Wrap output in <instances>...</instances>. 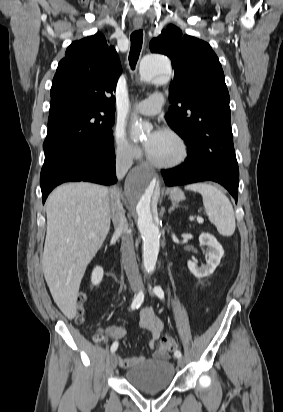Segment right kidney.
<instances>
[{"label":"right kidney","instance_id":"right-kidney-1","mask_svg":"<svg viewBox=\"0 0 283 412\" xmlns=\"http://www.w3.org/2000/svg\"><path fill=\"white\" fill-rule=\"evenodd\" d=\"M103 274H104L103 268L100 267V266H96L93 269V272H92V275H91L92 284L95 285V286L99 285L100 282L102 281Z\"/></svg>","mask_w":283,"mask_h":412}]
</instances>
